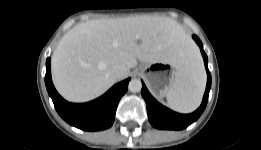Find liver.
<instances>
[{
    "instance_id": "liver-1",
    "label": "liver",
    "mask_w": 261,
    "mask_h": 150,
    "mask_svg": "<svg viewBox=\"0 0 261 150\" xmlns=\"http://www.w3.org/2000/svg\"><path fill=\"white\" fill-rule=\"evenodd\" d=\"M195 49L181 25L168 17L89 20L69 30L59 42L52 56L53 81L65 99L85 102L115 84L118 78L111 69L116 64L130 72L138 60L170 63L180 71Z\"/></svg>"
}]
</instances>
